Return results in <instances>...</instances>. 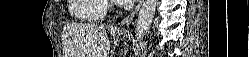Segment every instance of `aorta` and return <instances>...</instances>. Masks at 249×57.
<instances>
[{
	"label": "aorta",
	"instance_id": "obj_1",
	"mask_svg": "<svg viewBox=\"0 0 249 57\" xmlns=\"http://www.w3.org/2000/svg\"><path fill=\"white\" fill-rule=\"evenodd\" d=\"M158 0H144L135 24L136 47L148 32L153 21Z\"/></svg>",
	"mask_w": 249,
	"mask_h": 57
}]
</instances>
